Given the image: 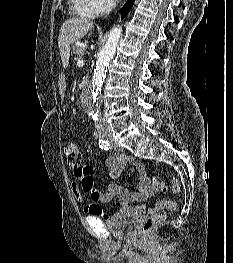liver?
Wrapping results in <instances>:
<instances>
[{"label": "liver", "instance_id": "6515ba94", "mask_svg": "<svg viewBox=\"0 0 233 263\" xmlns=\"http://www.w3.org/2000/svg\"><path fill=\"white\" fill-rule=\"evenodd\" d=\"M93 27L92 21L78 17L69 18L63 23L59 33L58 48L64 68L69 64L70 45L82 39Z\"/></svg>", "mask_w": 233, "mask_h": 263}]
</instances>
